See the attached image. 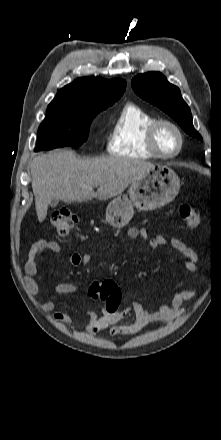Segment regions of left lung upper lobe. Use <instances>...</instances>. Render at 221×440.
Segmentation results:
<instances>
[{"label":"left lung upper lobe","instance_id":"5c2ea615","mask_svg":"<svg viewBox=\"0 0 221 440\" xmlns=\"http://www.w3.org/2000/svg\"><path fill=\"white\" fill-rule=\"evenodd\" d=\"M131 84L137 95L166 112L187 134L202 140L194 129L191 111L182 99L179 88L170 84L161 73L139 74Z\"/></svg>","mask_w":221,"mask_h":440}]
</instances>
